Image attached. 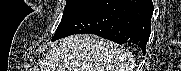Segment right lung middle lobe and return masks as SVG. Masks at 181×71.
Instances as JSON below:
<instances>
[{
	"mask_svg": "<svg viewBox=\"0 0 181 71\" xmlns=\"http://www.w3.org/2000/svg\"><path fill=\"white\" fill-rule=\"evenodd\" d=\"M93 1L94 0H66L63 16L56 31L70 22L79 12L85 9Z\"/></svg>",
	"mask_w": 181,
	"mask_h": 71,
	"instance_id": "right-lung-middle-lobe-1",
	"label": "right lung middle lobe"
}]
</instances>
